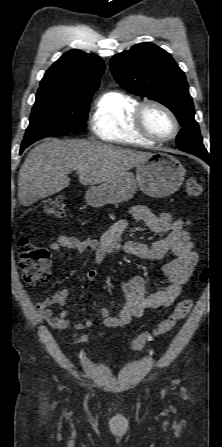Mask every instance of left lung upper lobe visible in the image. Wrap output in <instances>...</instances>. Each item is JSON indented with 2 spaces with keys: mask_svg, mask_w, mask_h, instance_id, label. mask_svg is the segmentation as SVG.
<instances>
[{
  "mask_svg": "<svg viewBox=\"0 0 222 447\" xmlns=\"http://www.w3.org/2000/svg\"><path fill=\"white\" fill-rule=\"evenodd\" d=\"M110 69L126 91L158 101L176 115L182 126L176 138L179 149L208 155L194 119L185 74L168 52L149 42L140 43L113 56Z\"/></svg>",
  "mask_w": 222,
  "mask_h": 447,
  "instance_id": "5c2ea615",
  "label": "left lung upper lobe"
}]
</instances>
